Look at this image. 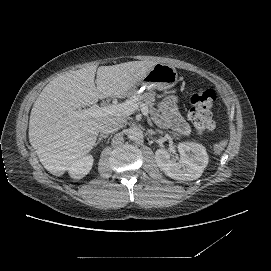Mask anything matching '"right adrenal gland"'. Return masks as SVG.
<instances>
[{
  "instance_id": "right-adrenal-gland-1",
  "label": "right adrenal gland",
  "mask_w": 271,
  "mask_h": 271,
  "mask_svg": "<svg viewBox=\"0 0 271 271\" xmlns=\"http://www.w3.org/2000/svg\"><path fill=\"white\" fill-rule=\"evenodd\" d=\"M107 137H108V135L100 134L97 142L95 143V146L98 145L102 139H106Z\"/></svg>"
}]
</instances>
